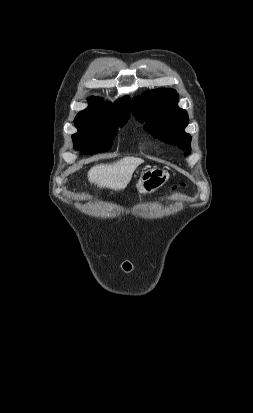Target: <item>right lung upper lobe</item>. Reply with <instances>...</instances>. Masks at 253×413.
<instances>
[{
  "label": "right lung upper lobe",
  "instance_id": "obj_1",
  "mask_svg": "<svg viewBox=\"0 0 253 413\" xmlns=\"http://www.w3.org/2000/svg\"><path fill=\"white\" fill-rule=\"evenodd\" d=\"M89 107L81 111L74 120L75 124L78 123H95L105 120H110L120 116L130 115V99L124 97L115 103V106L111 108L108 103H104L103 100L90 97L88 99Z\"/></svg>",
  "mask_w": 253,
  "mask_h": 413
}]
</instances>
